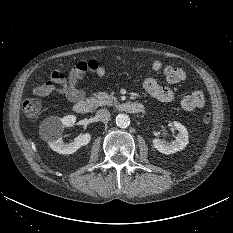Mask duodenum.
<instances>
[{"label":"duodenum","mask_w":233,"mask_h":233,"mask_svg":"<svg viewBox=\"0 0 233 233\" xmlns=\"http://www.w3.org/2000/svg\"><path fill=\"white\" fill-rule=\"evenodd\" d=\"M97 104V100L93 98H81L74 103L73 108L78 114H87L92 112L96 108ZM118 108L121 111L132 114L141 113L144 110L143 104L136 101L123 102Z\"/></svg>","instance_id":"duodenum-1"}]
</instances>
